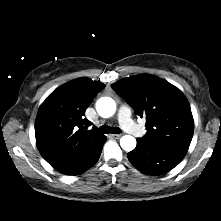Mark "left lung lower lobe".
<instances>
[{"mask_svg": "<svg viewBox=\"0 0 221 221\" xmlns=\"http://www.w3.org/2000/svg\"><path fill=\"white\" fill-rule=\"evenodd\" d=\"M186 151L143 143L137 140L136 148L128 153V159L134 167L145 174L161 175L177 166Z\"/></svg>", "mask_w": 221, "mask_h": 221, "instance_id": "obj_1", "label": "left lung lower lobe"}]
</instances>
